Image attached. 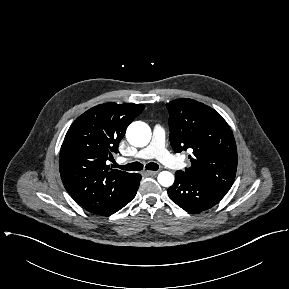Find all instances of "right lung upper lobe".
Here are the masks:
<instances>
[{
    "mask_svg": "<svg viewBox=\"0 0 289 289\" xmlns=\"http://www.w3.org/2000/svg\"><path fill=\"white\" fill-rule=\"evenodd\" d=\"M142 104L104 103L80 115L66 133L59 170L64 187L84 209L101 214L133 184L134 173L106 164L117 153L128 125L142 113Z\"/></svg>",
    "mask_w": 289,
    "mask_h": 289,
    "instance_id": "1",
    "label": "right lung upper lobe"
}]
</instances>
